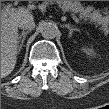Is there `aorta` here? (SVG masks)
Wrapping results in <instances>:
<instances>
[{
    "label": "aorta",
    "mask_w": 109,
    "mask_h": 109,
    "mask_svg": "<svg viewBox=\"0 0 109 109\" xmlns=\"http://www.w3.org/2000/svg\"><path fill=\"white\" fill-rule=\"evenodd\" d=\"M58 28L53 23H43L41 25V35L45 39H54L57 36Z\"/></svg>",
    "instance_id": "aorta-1"
}]
</instances>
